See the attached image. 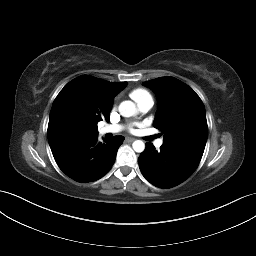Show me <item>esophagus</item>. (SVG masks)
I'll return each mask as SVG.
<instances>
[{"label": "esophagus", "mask_w": 256, "mask_h": 256, "mask_svg": "<svg viewBox=\"0 0 256 256\" xmlns=\"http://www.w3.org/2000/svg\"><path fill=\"white\" fill-rule=\"evenodd\" d=\"M135 140V138H131V137H126L125 141L126 142H133Z\"/></svg>", "instance_id": "obj_1"}]
</instances>
